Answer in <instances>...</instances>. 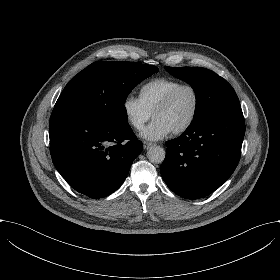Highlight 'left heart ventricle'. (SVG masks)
Returning <instances> with one entry per match:
<instances>
[{"label":"left heart ventricle","instance_id":"b2bd125f","mask_svg":"<svg viewBox=\"0 0 280 280\" xmlns=\"http://www.w3.org/2000/svg\"><path fill=\"white\" fill-rule=\"evenodd\" d=\"M195 103L196 99L193 90L185 88L178 93L172 104L158 112L155 118L163 119L175 130L191 118Z\"/></svg>","mask_w":280,"mask_h":280}]
</instances>
